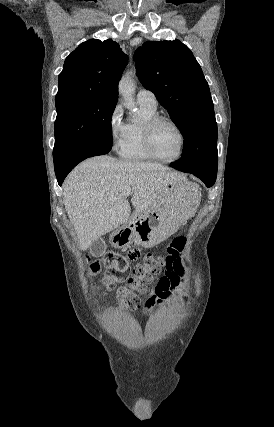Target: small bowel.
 <instances>
[{
  "instance_id": "1",
  "label": "small bowel",
  "mask_w": 274,
  "mask_h": 427,
  "mask_svg": "<svg viewBox=\"0 0 274 427\" xmlns=\"http://www.w3.org/2000/svg\"><path fill=\"white\" fill-rule=\"evenodd\" d=\"M186 249V246L182 244H170L167 247V250L170 252L166 256L167 261L173 262L176 259H182V256H176L173 253H182L186 251ZM164 275L165 276L162 277L152 287V289L142 301L140 306V311L142 313H147V311L156 304H163L165 302L173 300L175 297L182 296V292L177 285L179 277L181 280H183V269L181 267L180 261H178L176 264H172L170 266V269H166Z\"/></svg>"
}]
</instances>
